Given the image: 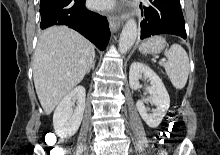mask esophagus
Masks as SVG:
<instances>
[{
	"instance_id": "1",
	"label": "esophagus",
	"mask_w": 220,
	"mask_h": 155,
	"mask_svg": "<svg viewBox=\"0 0 220 155\" xmlns=\"http://www.w3.org/2000/svg\"><path fill=\"white\" fill-rule=\"evenodd\" d=\"M126 15L125 14H120V15H111L109 17V25H110V29L112 31H116L119 26L123 23V21L125 20Z\"/></svg>"
}]
</instances>
